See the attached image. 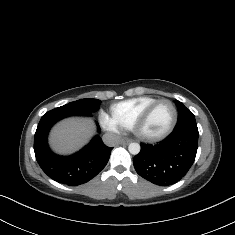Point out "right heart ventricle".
Instances as JSON below:
<instances>
[{
  "instance_id": "right-heart-ventricle-1",
  "label": "right heart ventricle",
  "mask_w": 235,
  "mask_h": 235,
  "mask_svg": "<svg viewBox=\"0 0 235 235\" xmlns=\"http://www.w3.org/2000/svg\"><path fill=\"white\" fill-rule=\"evenodd\" d=\"M155 100L157 98L151 95L131 98L111 105L110 113L121 128L131 130L134 122Z\"/></svg>"
}]
</instances>
